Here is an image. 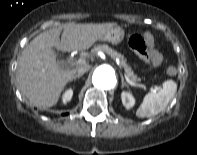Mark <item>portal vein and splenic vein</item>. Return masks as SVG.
Returning <instances> with one entry per match:
<instances>
[{"instance_id": "1", "label": "portal vein and splenic vein", "mask_w": 197, "mask_h": 155, "mask_svg": "<svg viewBox=\"0 0 197 155\" xmlns=\"http://www.w3.org/2000/svg\"><path fill=\"white\" fill-rule=\"evenodd\" d=\"M83 63H84V60H81V59H80V60L77 61V64H83ZM124 77H125L126 81H127L130 85H132V86H138V87H140V88L146 89V86H145V85H143V84H136L135 82H133L132 80H130V78H129L126 74H124ZM151 89H152L154 92H156L157 90L160 89V87L157 86V85H152Z\"/></svg>"}]
</instances>
